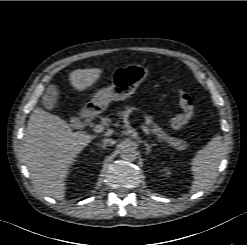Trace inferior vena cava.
Instances as JSON below:
<instances>
[{
    "instance_id": "1",
    "label": "inferior vena cava",
    "mask_w": 247,
    "mask_h": 245,
    "mask_svg": "<svg viewBox=\"0 0 247 245\" xmlns=\"http://www.w3.org/2000/svg\"><path fill=\"white\" fill-rule=\"evenodd\" d=\"M116 143V141L115 140H113V139H110V138H104L103 139V144H105V145H114Z\"/></svg>"
}]
</instances>
